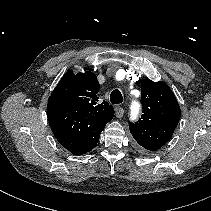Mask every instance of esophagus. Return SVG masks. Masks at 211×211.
Instances as JSON below:
<instances>
[{
  "label": "esophagus",
  "mask_w": 211,
  "mask_h": 211,
  "mask_svg": "<svg viewBox=\"0 0 211 211\" xmlns=\"http://www.w3.org/2000/svg\"><path fill=\"white\" fill-rule=\"evenodd\" d=\"M115 114L117 118H122L124 115V109L122 107L117 106L115 108Z\"/></svg>",
  "instance_id": "obj_1"
}]
</instances>
